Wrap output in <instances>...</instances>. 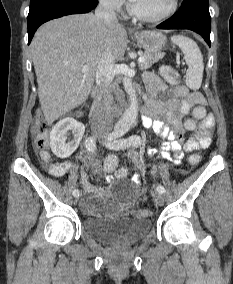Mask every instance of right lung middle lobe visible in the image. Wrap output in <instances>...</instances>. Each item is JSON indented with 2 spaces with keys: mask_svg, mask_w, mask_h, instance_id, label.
<instances>
[{
  "mask_svg": "<svg viewBox=\"0 0 233 284\" xmlns=\"http://www.w3.org/2000/svg\"><path fill=\"white\" fill-rule=\"evenodd\" d=\"M39 1H43V0H31L30 4H33V3H36V2H39Z\"/></svg>",
  "mask_w": 233,
  "mask_h": 284,
  "instance_id": "dd1d6c3e",
  "label": "right lung middle lobe"
}]
</instances>
